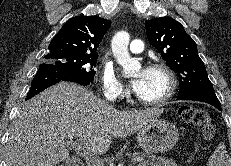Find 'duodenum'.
<instances>
[{
    "label": "duodenum",
    "mask_w": 231,
    "mask_h": 166,
    "mask_svg": "<svg viewBox=\"0 0 231 166\" xmlns=\"http://www.w3.org/2000/svg\"><path fill=\"white\" fill-rule=\"evenodd\" d=\"M67 166H83L81 162L75 160L69 163Z\"/></svg>",
    "instance_id": "1"
}]
</instances>
